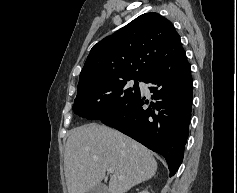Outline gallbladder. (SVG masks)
Masks as SVG:
<instances>
[{"label":"gallbladder","mask_w":237,"mask_h":193,"mask_svg":"<svg viewBox=\"0 0 237 193\" xmlns=\"http://www.w3.org/2000/svg\"><path fill=\"white\" fill-rule=\"evenodd\" d=\"M87 193H108V189L106 185L98 183L94 187H92Z\"/></svg>","instance_id":"gallbladder-1"}]
</instances>
